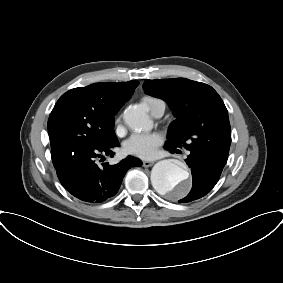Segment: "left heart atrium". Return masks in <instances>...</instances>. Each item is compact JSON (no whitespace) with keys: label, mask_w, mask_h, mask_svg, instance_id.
<instances>
[{"label":"left heart atrium","mask_w":283,"mask_h":283,"mask_svg":"<svg viewBox=\"0 0 283 283\" xmlns=\"http://www.w3.org/2000/svg\"><path fill=\"white\" fill-rule=\"evenodd\" d=\"M162 143L159 133L134 134L124 142V149L128 154L148 160L157 155Z\"/></svg>","instance_id":"1"}]
</instances>
